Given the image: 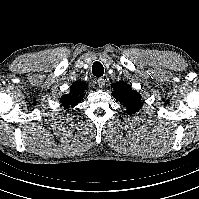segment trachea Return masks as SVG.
Segmentation results:
<instances>
[{
    "instance_id": "trachea-1",
    "label": "trachea",
    "mask_w": 199,
    "mask_h": 199,
    "mask_svg": "<svg viewBox=\"0 0 199 199\" xmlns=\"http://www.w3.org/2000/svg\"><path fill=\"white\" fill-rule=\"evenodd\" d=\"M92 73L97 77H101L104 74V68L100 62H95L92 66Z\"/></svg>"
}]
</instances>
